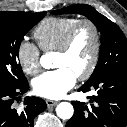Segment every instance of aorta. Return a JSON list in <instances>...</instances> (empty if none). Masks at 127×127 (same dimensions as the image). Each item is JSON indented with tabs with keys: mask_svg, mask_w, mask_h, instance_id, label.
I'll use <instances>...</instances> for the list:
<instances>
[{
	"mask_svg": "<svg viewBox=\"0 0 127 127\" xmlns=\"http://www.w3.org/2000/svg\"><path fill=\"white\" fill-rule=\"evenodd\" d=\"M40 64L42 67L49 69L52 66V59L49 55H43L40 58ZM57 116L63 120L70 119L73 116L74 108L68 102H61L56 107Z\"/></svg>",
	"mask_w": 127,
	"mask_h": 127,
	"instance_id": "aorta-1",
	"label": "aorta"
}]
</instances>
